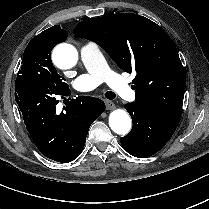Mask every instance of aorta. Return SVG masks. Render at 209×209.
Masks as SVG:
<instances>
[{"label": "aorta", "instance_id": "aorta-1", "mask_svg": "<svg viewBox=\"0 0 209 209\" xmlns=\"http://www.w3.org/2000/svg\"><path fill=\"white\" fill-rule=\"evenodd\" d=\"M53 61L61 69L73 67L78 60L76 48L67 43L59 44L53 51ZM110 128L119 135H126L131 129V118L123 109H116L109 116Z\"/></svg>", "mask_w": 209, "mask_h": 209}]
</instances>
